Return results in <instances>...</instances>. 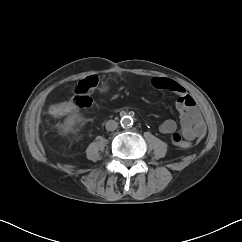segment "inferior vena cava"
<instances>
[{"label": "inferior vena cava", "mask_w": 242, "mask_h": 242, "mask_svg": "<svg viewBox=\"0 0 242 242\" xmlns=\"http://www.w3.org/2000/svg\"><path fill=\"white\" fill-rule=\"evenodd\" d=\"M105 127L108 131H114L118 127V123L115 120H108Z\"/></svg>", "instance_id": "602c4592"}]
</instances>
